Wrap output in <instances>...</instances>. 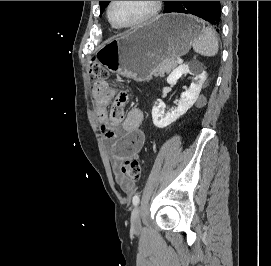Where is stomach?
<instances>
[{
	"label": "stomach",
	"instance_id": "stomach-1",
	"mask_svg": "<svg viewBox=\"0 0 271 266\" xmlns=\"http://www.w3.org/2000/svg\"><path fill=\"white\" fill-rule=\"evenodd\" d=\"M201 34L197 18L185 14L160 15L153 21L103 44L98 61L110 72L134 79L149 80L164 60H176L188 53Z\"/></svg>",
	"mask_w": 271,
	"mask_h": 266
}]
</instances>
